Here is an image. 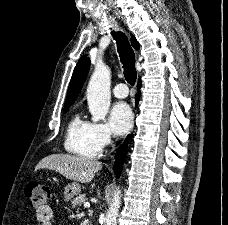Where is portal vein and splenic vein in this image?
I'll list each match as a JSON object with an SVG mask.
<instances>
[{"mask_svg":"<svg viewBox=\"0 0 228 225\" xmlns=\"http://www.w3.org/2000/svg\"><path fill=\"white\" fill-rule=\"evenodd\" d=\"M85 209H88V207H91L90 203H84Z\"/></svg>","mask_w":228,"mask_h":225,"instance_id":"portal-vein-and-splenic-vein-1","label":"portal vein and splenic vein"}]
</instances>
